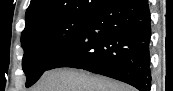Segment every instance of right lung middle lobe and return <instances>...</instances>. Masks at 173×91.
I'll return each instance as SVG.
<instances>
[{
  "label": "right lung middle lobe",
  "instance_id": "1",
  "mask_svg": "<svg viewBox=\"0 0 173 91\" xmlns=\"http://www.w3.org/2000/svg\"><path fill=\"white\" fill-rule=\"evenodd\" d=\"M93 15L94 12H87L52 18L23 30L22 67L27 77L26 87L39 79L52 61L84 30Z\"/></svg>",
  "mask_w": 173,
  "mask_h": 91
}]
</instances>
